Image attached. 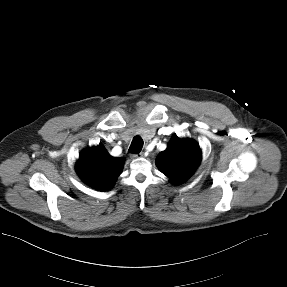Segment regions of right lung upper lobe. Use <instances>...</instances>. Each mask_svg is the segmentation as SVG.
Instances as JSON below:
<instances>
[{
    "mask_svg": "<svg viewBox=\"0 0 287 287\" xmlns=\"http://www.w3.org/2000/svg\"><path fill=\"white\" fill-rule=\"evenodd\" d=\"M124 161V158L112 157L102 144H99L80 153L76 171L86 184L106 191L114 186L115 180L122 173Z\"/></svg>",
    "mask_w": 287,
    "mask_h": 287,
    "instance_id": "right-lung-upper-lobe-1",
    "label": "right lung upper lobe"
}]
</instances>
